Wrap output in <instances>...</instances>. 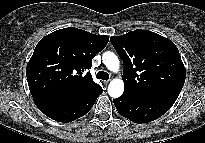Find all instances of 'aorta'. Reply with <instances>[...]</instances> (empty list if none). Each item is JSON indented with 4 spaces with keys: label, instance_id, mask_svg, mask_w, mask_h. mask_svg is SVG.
<instances>
[{
    "label": "aorta",
    "instance_id": "aorta-1",
    "mask_svg": "<svg viewBox=\"0 0 205 143\" xmlns=\"http://www.w3.org/2000/svg\"><path fill=\"white\" fill-rule=\"evenodd\" d=\"M102 60L104 65L112 72H117L120 67V62L116 54L107 51L103 53ZM124 83L121 79H113L108 86V94L112 98H118L123 94Z\"/></svg>",
    "mask_w": 205,
    "mask_h": 143
}]
</instances>
